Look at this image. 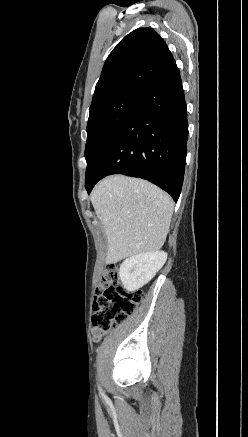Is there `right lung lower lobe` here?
Returning <instances> with one entry per match:
<instances>
[{"label": "right lung lower lobe", "instance_id": "98d812e1", "mask_svg": "<svg viewBox=\"0 0 248 437\" xmlns=\"http://www.w3.org/2000/svg\"><path fill=\"white\" fill-rule=\"evenodd\" d=\"M188 138L186 102L175 60L138 94L128 115L101 149L85 187L111 174L146 179L177 201Z\"/></svg>", "mask_w": 248, "mask_h": 437}]
</instances>
